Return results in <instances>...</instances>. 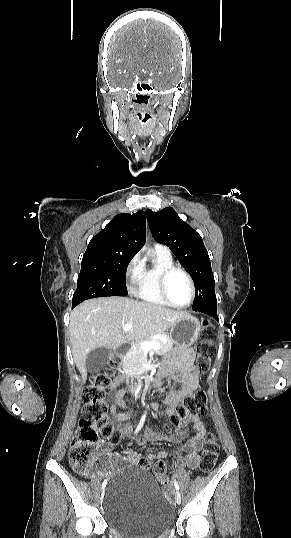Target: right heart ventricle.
<instances>
[{"label":"right heart ventricle","instance_id":"e07e8e85","mask_svg":"<svg viewBox=\"0 0 291 538\" xmlns=\"http://www.w3.org/2000/svg\"><path fill=\"white\" fill-rule=\"evenodd\" d=\"M151 258V264H143L135 294L142 301L168 306L159 290V276L164 269L175 266L173 257L171 253L155 248Z\"/></svg>","mask_w":291,"mask_h":538}]
</instances>
